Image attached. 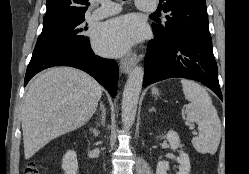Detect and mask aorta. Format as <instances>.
Masks as SVG:
<instances>
[{"instance_id":"1","label":"aorta","mask_w":249,"mask_h":174,"mask_svg":"<svg viewBox=\"0 0 249 174\" xmlns=\"http://www.w3.org/2000/svg\"><path fill=\"white\" fill-rule=\"evenodd\" d=\"M143 77L144 69L137 65L126 81L122 97V123L125 129H130L134 123Z\"/></svg>"}]
</instances>
